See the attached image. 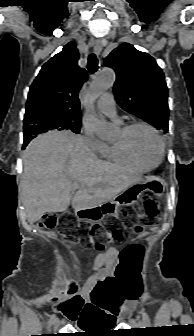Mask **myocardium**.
Returning <instances> with one entry per match:
<instances>
[{
    "instance_id": "f54148a6",
    "label": "myocardium",
    "mask_w": 194,
    "mask_h": 336,
    "mask_svg": "<svg viewBox=\"0 0 194 336\" xmlns=\"http://www.w3.org/2000/svg\"><path fill=\"white\" fill-rule=\"evenodd\" d=\"M137 127H143V128H146V129L150 130L158 140V143H159V146H160V158L155 164H147V163L143 162L138 157V155L136 154V152L134 151V149L132 147V144H131V141H130V134H131L132 130L137 128ZM118 142L123 147V149L129 154V156L131 158H133L137 163H139L140 165L144 166L147 169H154V168L158 167L161 164V162L163 161V158H164V155H165V144H164L163 138L160 135L159 131L149 123H146V122H143V121H135V122H131V123L125 125L121 129V137L118 140Z\"/></svg>"
}]
</instances>
